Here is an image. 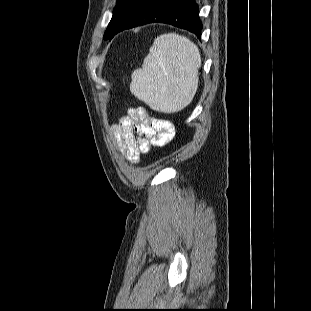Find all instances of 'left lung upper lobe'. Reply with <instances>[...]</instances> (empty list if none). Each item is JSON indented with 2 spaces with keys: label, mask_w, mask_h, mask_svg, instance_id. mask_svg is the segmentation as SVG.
I'll list each match as a JSON object with an SVG mask.
<instances>
[{
  "label": "left lung upper lobe",
  "mask_w": 311,
  "mask_h": 311,
  "mask_svg": "<svg viewBox=\"0 0 311 311\" xmlns=\"http://www.w3.org/2000/svg\"><path fill=\"white\" fill-rule=\"evenodd\" d=\"M127 0H118L117 1V4H116V7L114 9V12H113V17L105 31V34H104V39H108L113 31V28H114V25H115V21H116V18H117V15H118V12L119 10L121 9V7L124 5V3L126 2Z\"/></svg>",
  "instance_id": "1"
}]
</instances>
